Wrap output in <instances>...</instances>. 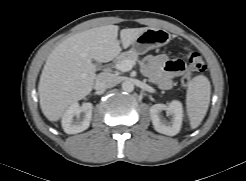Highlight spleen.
Masks as SVG:
<instances>
[{
    "instance_id": "obj_1",
    "label": "spleen",
    "mask_w": 246,
    "mask_h": 181,
    "mask_svg": "<svg viewBox=\"0 0 246 181\" xmlns=\"http://www.w3.org/2000/svg\"><path fill=\"white\" fill-rule=\"evenodd\" d=\"M211 85L204 75L194 77L187 89L186 111L192 129L197 128L204 119L210 104Z\"/></svg>"
}]
</instances>
